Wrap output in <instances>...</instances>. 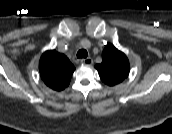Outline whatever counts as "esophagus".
I'll list each match as a JSON object with an SVG mask.
<instances>
[{"mask_svg": "<svg viewBox=\"0 0 172 134\" xmlns=\"http://www.w3.org/2000/svg\"><path fill=\"white\" fill-rule=\"evenodd\" d=\"M81 64L83 65H88V66H92L93 65V60L91 58H84L81 59Z\"/></svg>", "mask_w": 172, "mask_h": 134, "instance_id": "34e87169", "label": "esophagus"}]
</instances>
